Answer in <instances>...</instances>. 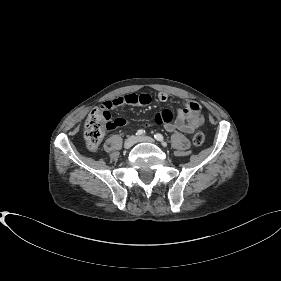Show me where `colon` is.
<instances>
[{"mask_svg": "<svg viewBox=\"0 0 281 281\" xmlns=\"http://www.w3.org/2000/svg\"><path fill=\"white\" fill-rule=\"evenodd\" d=\"M116 126V120L112 119L108 111L98 108L92 110L84 125V138L87 148L92 152L97 151L106 131ZM192 141L195 146H201L205 141V136L202 132H196Z\"/></svg>", "mask_w": 281, "mask_h": 281, "instance_id": "colon-1", "label": "colon"}]
</instances>
